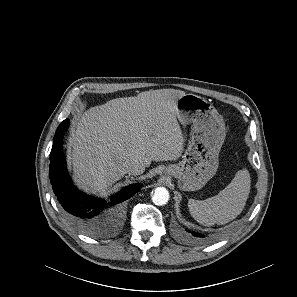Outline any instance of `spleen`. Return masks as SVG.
Here are the masks:
<instances>
[{
  "label": "spleen",
  "mask_w": 297,
  "mask_h": 297,
  "mask_svg": "<svg viewBox=\"0 0 297 297\" xmlns=\"http://www.w3.org/2000/svg\"><path fill=\"white\" fill-rule=\"evenodd\" d=\"M250 188L249 171L247 169L239 170L231 183L218 195L206 200L189 199V212L198 223L205 226L226 224L243 211Z\"/></svg>",
  "instance_id": "3e777b00"
}]
</instances>
